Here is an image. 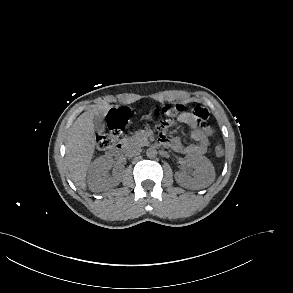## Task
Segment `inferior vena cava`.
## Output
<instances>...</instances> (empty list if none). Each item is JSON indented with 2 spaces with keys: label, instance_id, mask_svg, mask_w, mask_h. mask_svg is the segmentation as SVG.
Masks as SVG:
<instances>
[{
  "label": "inferior vena cava",
  "instance_id": "602c4592",
  "mask_svg": "<svg viewBox=\"0 0 293 293\" xmlns=\"http://www.w3.org/2000/svg\"><path fill=\"white\" fill-rule=\"evenodd\" d=\"M140 153H141V148H139V147L129 148L126 151V155L129 156V157L139 155Z\"/></svg>",
  "mask_w": 293,
  "mask_h": 293
}]
</instances>
